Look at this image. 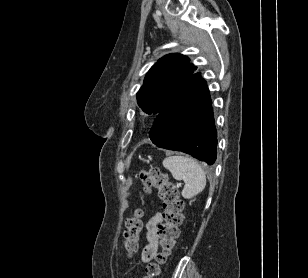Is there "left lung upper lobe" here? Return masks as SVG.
Here are the masks:
<instances>
[{
  "instance_id": "1",
  "label": "left lung upper lobe",
  "mask_w": 308,
  "mask_h": 278,
  "mask_svg": "<svg viewBox=\"0 0 308 278\" xmlns=\"http://www.w3.org/2000/svg\"><path fill=\"white\" fill-rule=\"evenodd\" d=\"M196 66L188 57L169 54L148 71L136 97L140 108L147 114L158 115L182 86L195 74Z\"/></svg>"
}]
</instances>
